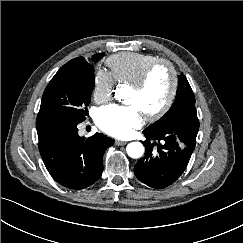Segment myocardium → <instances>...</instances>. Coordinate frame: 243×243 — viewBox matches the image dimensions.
<instances>
[{
    "label": "myocardium",
    "instance_id": "1",
    "mask_svg": "<svg viewBox=\"0 0 243 243\" xmlns=\"http://www.w3.org/2000/svg\"><path fill=\"white\" fill-rule=\"evenodd\" d=\"M159 65H166L168 67L170 74H171L170 86H169L168 92H167L166 96L164 97V99L154 108L144 112V115L147 118L154 117L157 114L161 113L172 102V100L175 96L177 84H178V74H177L176 68L174 67L172 62H170L169 60L164 59V58H158V59L150 62L148 65H146L143 68V70L140 72V74L133 81H131L129 83L130 87H132L136 90H140L145 85L152 70Z\"/></svg>",
    "mask_w": 243,
    "mask_h": 243
}]
</instances>
